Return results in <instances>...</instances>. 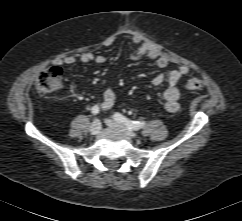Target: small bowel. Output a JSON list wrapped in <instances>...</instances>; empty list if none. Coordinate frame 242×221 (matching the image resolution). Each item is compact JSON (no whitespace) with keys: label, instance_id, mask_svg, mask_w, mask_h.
<instances>
[{"label":"small bowel","instance_id":"1","mask_svg":"<svg viewBox=\"0 0 242 221\" xmlns=\"http://www.w3.org/2000/svg\"><path fill=\"white\" fill-rule=\"evenodd\" d=\"M132 51L130 54L131 59L140 60L142 58H148L155 62L156 66L163 69L166 68L169 64L168 58L162 54L159 50L154 48L143 35L135 34L131 40ZM105 57L102 55H95L91 52H85L81 55L80 61L85 64L96 63L103 64L105 62ZM77 59L74 56H66L64 58H59L54 61L56 66L62 65H73L75 64ZM189 68L185 65H181L176 69L171 70L168 74L159 73L152 79V84L154 86H159L164 82L168 83V87L164 92V100H165V109L169 113H176L179 108V98L180 91L177 88V83L180 79L188 74ZM103 99L101 102V108L103 110H109L113 107L116 94L114 90L110 87H107L103 91L102 95Z\"/></svg>","mask_w":242,"mask_h":221}]
</instances>
